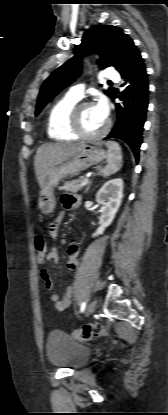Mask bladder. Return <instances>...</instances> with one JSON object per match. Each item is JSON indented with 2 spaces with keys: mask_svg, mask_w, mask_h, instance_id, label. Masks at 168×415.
I'll return each instance as SVG.
<instances>
[{
  "mask_svg": "<svg viewBox=\"0 0 168 415\" xmlns=\"http://www.w3.org/2000/svg\"><path fill=\"white\" fill-rule=\"evenodd\" d=\"M46 355L52 365L75 370L88 361L90 349L65 332L53 330L47 338Z\"/></svg>",
  "mask_w": 168,
  "mask_h": 415,
  "instance_id": "31cf9c89",
  "label": "bladder"
}]
</instances>
